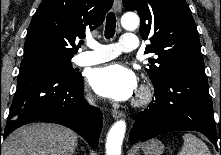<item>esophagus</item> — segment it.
Returning a JSON list of instances; mask_svg holds the SVG:
<instances>
[{"label": "esophagus", "instance_id": "esophagus-1", "mask_svg": "<svg viewBox=\"0 0 221 155\" xmlns=\"http://www.w3.org/2000/svg\"><path fill=\"white\" fill-rule=\"evenodd\" d=\"M121 8H122V0H114V10L117 13L121 12ZM112 116L115 119H119L122 118L124 116V113L118 109H114L112 110Z\"/></svg>", "mask_w": 221, "mask_h": 155}]
</instances>
